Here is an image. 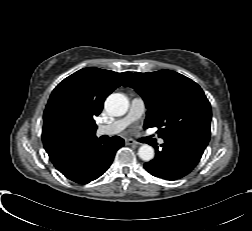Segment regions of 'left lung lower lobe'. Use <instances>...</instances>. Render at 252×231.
Masks as SVG:
<instances>
[{"label": "left lung lower lobe", "mask_w": 252, "mask_h": 231, "mask_svg": "<svg viewBox=\"0 0 252 231\" xmlns=\"http://www.w3.org/2000/svg\"><path fill=\"white\" fill-rule=\"evenodd\" d=\"M208 142L209 136L195 132L165 138L162 150L155 146V158L144 167L156 177L171 181L180 179L197 165Z\"/></svg>", "instance_id": "0a47b994"}]
</instances>
